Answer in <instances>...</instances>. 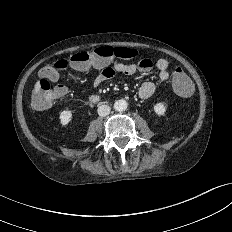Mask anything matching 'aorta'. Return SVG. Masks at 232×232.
I'll return each instance as SVG.
<instances>
[{"label": "aorta", "mask_w": 232, "mask_h": 232, "mask_svg": "<svg viewBox=\"0 0 232 232\" xmlns=\"http://www.w3.org/2000/svg\"><path fill=\"white\" fill-rule=\"evenodd\" d=\"M127 107L128 103L124 99H119L114 103V109L119 112L125 111Z\"/></svg>", "instance_id": "obj_1"}]
</instances>
